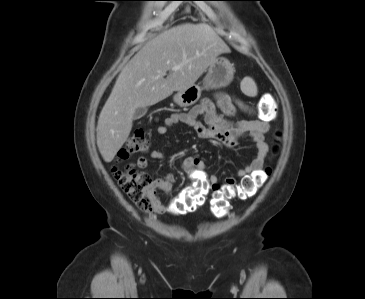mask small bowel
Returning a JSON list of instances; mask_svg holds the SVG:
<instances>
[{"label": "small bowel", "instance_id": "c3829d8e", "mask_svg": "<svg viewBox=\"0 0 365 299\" xmlns=\"http://www.w3.org/2000/svg\"><path fill=\"white\" fill-rule=\"evenodd\" d=\"M216 99L221 113L217 111L211 100L204 99L189 112H177L166 117L163 124L157 128V134L163 136L176 124L184 123L192 127L199 137L220 141L228 147H236L241 137L249 136L255 144V157L245 167L238 169L233 177H228L225 180L226 184H231L235 183L237 179L255 173L262 168L268 153L265 134L269 130V123L262 118L229 121L228 118L233 117L238 109L250 113V108L242 101L223 93L217 94ZM150 157L154 160H160L164 155L159 150H153ZM137 164L139 167L145 168L148 165V160L144 156L139 157ZM182 168L196 181L209 185H217L219 182L217 175L206 173L205 164L201 157L189 156L184 158ZM174 181V175L169 173L163 177L153 179L151 186L154 191L170 192ZM169 210L171 211V207L163 204L155 193L154 212L160 214Z\"/></svg>", "mask_w": 365, "mask_h": 299}]
</instances>
